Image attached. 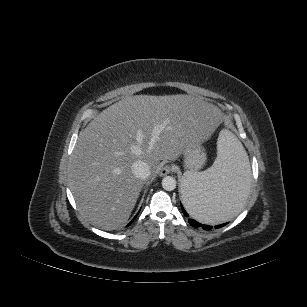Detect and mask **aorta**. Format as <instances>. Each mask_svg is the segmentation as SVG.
I'll return each mask as SVG.
<instances>
[{
	"label": "aorta",
	"instance_id": "aorta-1",
	"mask_svg": "<svg viewBox=\"0 0 307 307\" xmlns=\"http://www.w3.org/2000/svg\"><path fill=\"white\" fill-rule=\"evenodd\" d=\"M176 180L172 176H166L162 180V187L166 191H173L176 188Z\"/></svg>",
	"mask_w": 307,
	"mask_h": 307
}]
</instances>
